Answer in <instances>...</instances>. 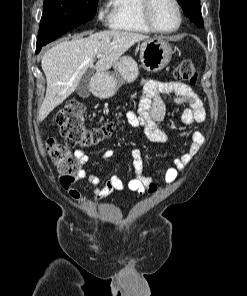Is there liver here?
Segmentation results:
<instances>
[{
  "label": "liver",
  "instance_id": "liver-1",
  "mask_svg": "<svg viewBox=\"0 0 247 296\" xmlns=\"http://www.w3.org/2000/svg\"><path fill=\"white\" fill-rule=\"evenodd\" d=\"M147 39V35L139 33L108 30L90 34L86 38L80 35L49 49L41 60L47 89L39 111V121H43L75 91L89 67L97 73L107 72L130 47ZM98 54L101 57L94 66L93 61Z\"/></svg>",
  "mask_w": 247,
  "mask_h": 296
}]
</instances>
